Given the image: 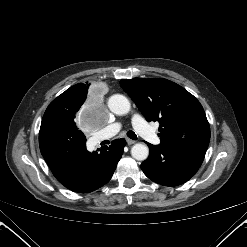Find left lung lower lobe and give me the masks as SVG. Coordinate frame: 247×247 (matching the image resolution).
Masks as SVG:
<instances>
[{"label": "left lung lower lobe", "instance_id": "1", "mask_svg": "<svg viewBox=\"0 0 247 247\" xmlns=\"http://www.w3.org/2000/svg\"><path fill=\"white\" fill-rule=\"evenodd\" d=\"M208 143L193 140L157 146L148 143L150 154L141 169L149 179L161 185L183 184L201 166Z\"/></svg>", "mask_w": 247, "mask_h": 247}]
</instances>
